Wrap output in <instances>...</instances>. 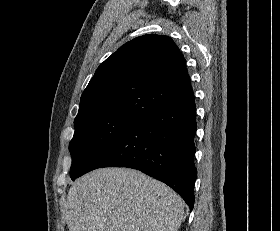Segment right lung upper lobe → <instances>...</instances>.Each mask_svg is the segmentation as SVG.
Instances as JSON below:
<instances>
[{
    "instance_id": "right-lung-upper-lobe-1",
    "label": "right lung upper lobe",
    "mask_w": 280,
    "mask_h": 231,
    "mask_svg": "<svg viewBox=\"0 0 280 231\" xmlns=\"http://www.w3.org/2000/svg\"><path fill=\"white\" fill-rule=\"evenodd\" d=\"M185 59L174 41L144 35L125 43L96 70L75 120L128 117L141 120L194 98Z\"/></svg>"
}]
</instances>
